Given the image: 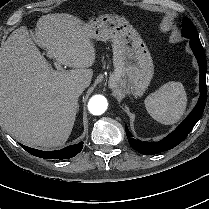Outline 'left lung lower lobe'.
Returning a JSON list of instances; mask_svg holds the SVG:
<instances>
[{"label": "left lung lower lobe", "mask_w": 209, "mask_h": 209, "mask_svg": "<svg viewBox=\"0 0 209 209\" xmlns=\"http://www.w3.org/2000/svg\"><path fill=\"white\" fill-rule=\"evenodd\" d=\"M190 47L199 64L200 97L198 102L188 117L172 133L159 142H142L140 140H136L133 138V135L130 133L128 127L125 126L129 144L134 150L141 154L154 155L174 148L187 137L203 114L207 99V87L205 80L207 70L206 56L199 39H190Z\"/></svg>", "instance_id": "obj_1"}]
</instances>
